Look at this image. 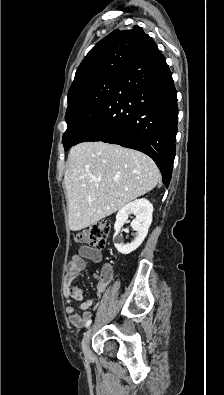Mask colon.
Listing matches in <instances>:
<instances>
[{
  "label": "colon",
  "instance_id": "5ec220e1",
  "mask_svg": "<svg viewBox=\"0 0 224 395\" xmlns=\"http://www.w3.org/2000/svg\"><path fill=\"white\" fill-rule=\"evenodd\" d=\"M109 229V224L105 222L99 223L80 231L76 235L75 240L79 243L87 244L92 248L101 249L106 244Z\"/></svg>",
  "mask_w": 224,
  "mask_h": 395
}]
</instances>
